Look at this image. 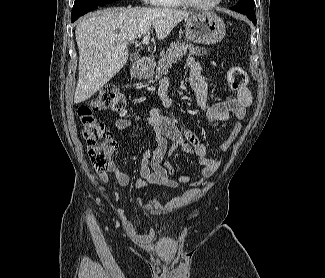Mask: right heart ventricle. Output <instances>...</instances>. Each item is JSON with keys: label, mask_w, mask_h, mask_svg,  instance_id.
Masks as SVG:
<instances>
[{"label": "right heart ventricle", "mask_w": 325, "mask_h": 278, "mask_svg": "<svg viewBox=\"0 0 325 278\" xmlns=\"http://www.w3.org/2000/svg\"><path fill=\"white\" fill-rule=\"evenodd\" d=\"M157 5L166 8H176L181 6V2L179 0H159Z\"/></svg>", "instance_id": "e07e8e85"}]
</instances>
